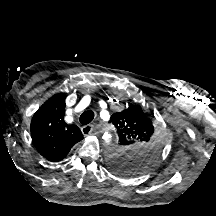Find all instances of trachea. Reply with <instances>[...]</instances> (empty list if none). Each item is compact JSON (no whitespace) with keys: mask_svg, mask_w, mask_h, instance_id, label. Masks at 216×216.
I'll list each match as a JSON object with an SVG mask.
<instances>
[{"mask_svg":"<svg viewBox=\"0 0 216 216\" xmlns=\"http://www.w3.org/2000/svg\"><path fill=\"white\" fill-rule=\"evenodd\" d=\"M94 112L92 110L85 111L81 114L79 120L83 125L89 124L94 119Z\"/></svg>","mask_w":216,"mask_h":216,"instance_id":"1","label":"trachea"}]
</instances>
